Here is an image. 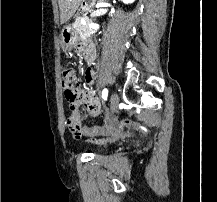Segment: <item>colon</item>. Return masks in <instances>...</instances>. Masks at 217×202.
Segmentation results:
<instances>
[{
	"instance_id": "colon-1",
	"label": "colon",
	"mask_w": 217,
	"mask_h": 202,
	"mask_svg": "<svg viewBox=\"0 0 217 202\" xmlns=\"http://www.w3.org/2000/svg\"><path fill=\"white\" fill-rule=\"evenodd\" d=\"M61 74H63V79H62V86H63V90H64V95H65V99L69 105V109L71 111H76V109L79 107V105L81 103H83L84 101V96H77V95H81L82 91L81 90H75L73 87V82H78V76L76 75L75 72L72 71V69H61ZM78 120L76 118H73L72 115H70L67 120H66V125L69 129V131H75L74 127L78 126ZM123 126L125 127H130L131 126V121L129 119H126L123 121L122 123ZM82 132H83V136L85 138H90L91 137V130L93 132H104L106 129L104 127H93L91 130L87 129V125L84 123L82 125ZM123 135L127 134L128 132L125 130H123L121 132ZM74 137H79V136H74Z\"/></svg>"
}]
</instances>
